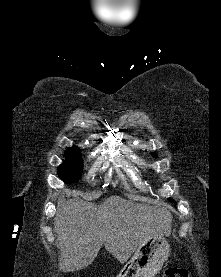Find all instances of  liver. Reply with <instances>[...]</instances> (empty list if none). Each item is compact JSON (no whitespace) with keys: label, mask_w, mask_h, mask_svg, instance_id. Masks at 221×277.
<instances>
[{"label":"liver","mask_w":221,"mask_h":277,"mask_svg":"<svg viewBox=\"0 0 221 277\" xmlns=\"http://www.w3.org/2000/svg\"><path fill=\"white\" fill-rule=\"evenodd\" d=\"M172 215L161 207L111 196L102 204L60 198L54 231L61 251L59 268L73 272L86 268L104 245L120 263L155 234L167 236Z\"/></svg>","instance_id":"obj_1"}]
</instances>
